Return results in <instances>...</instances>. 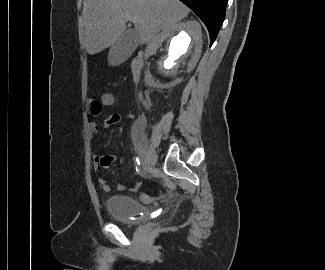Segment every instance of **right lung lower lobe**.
I'll return each mask as SVG.
<instances>
[{
    "mask_svg": "<svg viewBox=\"0 0 325 270\" xmlns=\"http://www.w3.org/2000/svg\"><path fill=\"white\" fill-rule=\"evenodd\" d=\"M186 4L206 25L210 46L215 41L224 21L228 0H180Z\"/></svg>",
    "mask_w": 325,
    "mask_h": 270,
    "instance_id": "right-lung-lower-lobe-1",
    "label": "right lung lower lobe"
}]
</instances>
